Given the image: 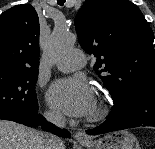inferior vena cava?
<instances>
[{"mask_svg": "<svg viewBox=\"0 0 155 149\" xmlns=\"http://www.w3.org/2000/svg\"><path fill=\"white\" fill-rule=\"evenodd\" d=\"M45 118L56 125L57 127H64L65 125V117L60 113H46ZM63 146V141L51 134L45 133L43 139V149H61Z\"/></svg>", "mask_w": 155, "mask_h": 149, "instance_id": "1", "label": "inferior vena cava"}]
</instances>
